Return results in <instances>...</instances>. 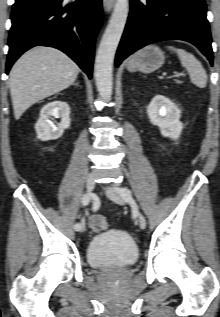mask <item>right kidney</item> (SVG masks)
<instances>
[{
    "mask_svg": "<svg viewBox=\"0 0 220 317\" xmlns=\"http://www.w3.org/2000/svg\"><path fill=\"white\" fill-rule=\"evenodd\" d=\"M70 107L66 102L53 101L44 105L40 111V117L35 124L38 139L42 141L55 140L62 136L65 129L70 126ZM61 118L55 126L51 117Z\"/></svg>",
    "mask_w": 220,
    "mask_h": 317,
    "instance_id": "obj_1",
    "label": "right kidney"
}]
</instances>
